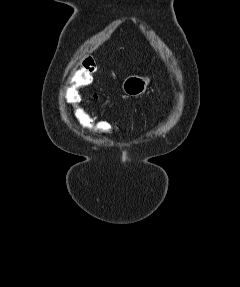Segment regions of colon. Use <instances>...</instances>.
<instances>
[{"label": "colon", "mask_w": 240, "mask_h": 287, "mask_svg": "<svg viewBox=\"0 0 240 287\" xmlns=\"http://www.w3.org/2000/svg\"><path fill=\"white\" fill-rule=\"evenodd\" d=\"M95 71V61L91 57L84 59L81 69L72 78V84L65 89L63 98L69 112L81 127L100 133H109L116 126L110 121L99 120L93 116L84 107V98L80 91L81 87L89 85L92 82V74Z\"/></svg>", "instance_id": "obj_1"}]
</instances>
